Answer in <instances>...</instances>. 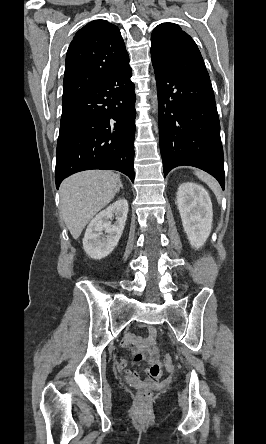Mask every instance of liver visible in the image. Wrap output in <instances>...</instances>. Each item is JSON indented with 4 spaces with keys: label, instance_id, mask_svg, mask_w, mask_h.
<instances>
[{
    "label": "liver",
    "instance_id": "1",
    "mask_svg": "<svg viewBox=\"0 0 266 444\" xmlns=\"http://www.w3.org/2000/svg\"><path fill=\"white\" fill-rule=\"evenodd\" d=\"M120 182L119 175L101 170L80 172L62 182L61 213L74 239L119 192Z\"/></svg>",
    "mask_w": 266,
    "mask_h": 444
}]
</instances>
